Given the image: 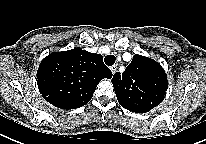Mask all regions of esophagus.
<instances>
[{
	"label": "esophagus",
	"instance_id": "34e87169",
	"mask_svg": "<svg viewBox=\"0 0 206 144\" xmlns=\"http://www.w3.org/2000/svg\"><path fill=\"white\" fill-rule=\"evenodd\" d=\"M110 69L112 73L115 74V72L117 71V65H112Z\"/></svg>",
	"mask_w": 206,
	"mask_h": 144
}]
</instances>
